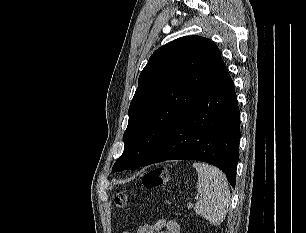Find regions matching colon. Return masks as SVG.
Here are the masks:
<instances>
[{
  "instance_id": "5ec220e1",
  "label": "colon",
  "mask_w": 306,
  "mask_h": 233,
  "mask_svg": "<svg viewBox=\"0 0 306 233\" xmlns=\"http://www.w3.org/2000/svg\"><path fill=\"white\" fill-rule=\"evenodd\" d=\"M168 180V172L166 167H156L150 171H148L143 176V185L146 188H157L164 185ZM128 196L126 192L122 191L117 194L115 197V205L122 209L127 205Z\"/></svg>"
}]
</instances>
